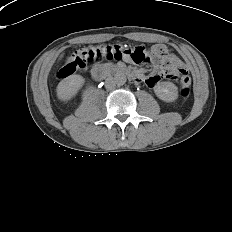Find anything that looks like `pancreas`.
<instances>
[{"mask_svg":"<svg viewBox=\"0 0 232 232\" xmlns=\"http://www.w3.org/2000/svg\"><path fill=\"white\" fill-rule=\"evenodd\" d=\"M115 69H116V68H115L114 65H109V66H108V70H110V71L115 70Z\"/></svg>","mask_w":232,"mask_h":232,"instance_id":"pancreas-1","label":"pancreas"}]
</instances>
